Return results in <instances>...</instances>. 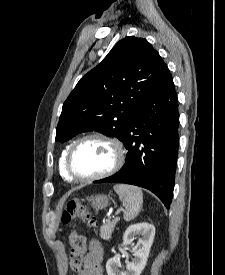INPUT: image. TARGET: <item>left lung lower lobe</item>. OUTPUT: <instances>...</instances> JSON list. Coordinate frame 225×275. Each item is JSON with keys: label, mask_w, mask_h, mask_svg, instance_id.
I'll return each instance as SVG.
<instances>
[{"label": "left lung lower lobe", "mask_w": 225, "mask_h": 275, "mask_svg": "<svg viewBox=\"0 0 225 275\" xmlns=\"http://www.w3.org/2000/svg\"><path fill=\"white\" fill-rule=\"evenodd\" d=\"M178 99L169 76L146 100L122 140L126 162L116 174L95 183L119 182L146 188L169 208L178 154Z\"/></svg>", "instance_id": "obj_1"}]
</instances>
